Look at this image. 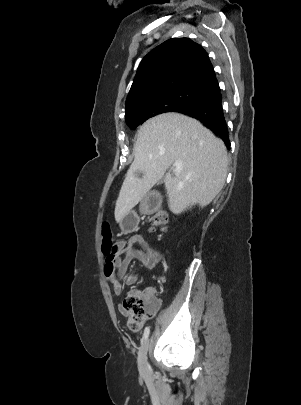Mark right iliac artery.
Masks as SVG:
<instances>
[{
  "label": "right iliac artery",
  "instance_id": "82829eb1",
  "mask_svg": "<svg viewBox=\"0 0 301 405\" xmlns=\"http://www.w3.org/2000/svg\"><path fill=\"white\" fill-rule=\"evenodd\" d=\"M149 333H150V329H149V327H146L145 330H144V334H143V339L144 340H146L148 338Z\"/></svg>",
  "mask_w": 301,
  "mask_h": 405
}]
</instances>
